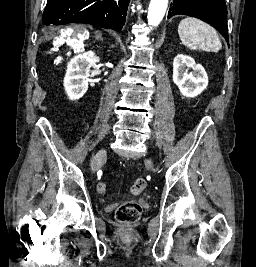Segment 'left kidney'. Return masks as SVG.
Here are the masks:
<instances>
[{"label":"left kidney","mask_w":256,"mask_h":267,"mask_svg":"<svg viewBox=\"0 0 256 267\" xmlns=\"http://www.w3.org/2000/svg\"><path fill=\"white\" fill-rule=\"evenodd\" d=\"M190 68L193 72H188ZM172 78L182 96L186 98H195L208 86V76L203 66L196 64L195 60L186 54L175 56Z\"/></svg>","instance_id":"1"}]
</instances>
